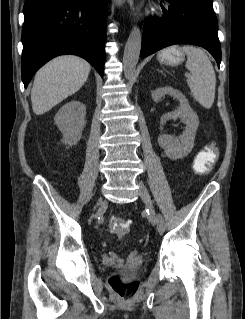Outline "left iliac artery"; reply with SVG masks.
<instances>
[{
  "label": "left iliac artery",
  "mask_w": 245,
  "mask_h": 319,
  "mask_svg": "<svg viewBox=\"0 0 245 319\" xmlns=\"http://www.w3.org/2000/svg\"><path fill=\"white\" fill-rule=\"evenodd\" d=\"M157 219H158L157 227H158L159 231H164V219H163V217L159 214L157 216Z\"/></svg>",
  "instance_id": "1"
}]
</instances>
